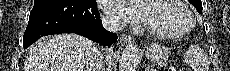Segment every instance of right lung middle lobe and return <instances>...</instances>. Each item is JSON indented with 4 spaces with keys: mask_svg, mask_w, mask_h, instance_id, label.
I'll use <instances>...</instances> for the list:
<instances>
[{
    "mask_svg": "<svg viewBox=\"0 0 230 71\" xmlns=\"http://www.w3.org/2000/svg\"><path fill=\"white\" fill-rule=\"evenodd\" d=\"M84 1H86V2H91V0H84Z\"/></svg>",
    "mask_w": 230,
    "mask_h": 71,
    "instance_id": "dd1d6c3e",
    "label": "right lung middle lobe"
}]
</instances>
